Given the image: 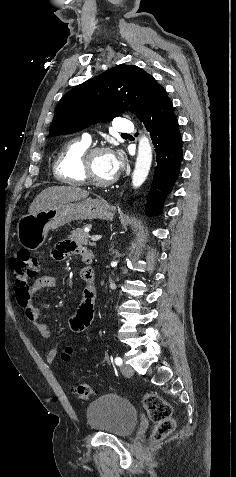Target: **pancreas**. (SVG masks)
I'll return each instance as SVG.
<instances>
[{
    "label": "pancreas",
    "instance_id": "cf45deb5",
    "mask_svg": "<svg viewBox=\"0 0 236 477\" xmlns=\"http://www.w3.org/2000/svg\"><path fill=\"white\" fill-rule=\"evenodd\" d=\"M70 240L75 242L78 245H90V246H95L96 243L94 242H89L90 235L84 231L83 228H77L76 230L72 231L71 234L68 236Z\"/></svg>",
    "mask_w": 236,
    "mask_h": 477
}]
</instances>
